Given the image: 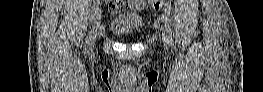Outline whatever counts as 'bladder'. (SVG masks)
I'll return each mask as SVG.
<instances>
[{
    "mask_svg": "<svg viewBox=\"0 0 263 92\" xmlns=\"http://www.w3.org/2000/svg\"><path fill=\"white\" fill-rule=\"evenodd\" d=\"M141 25L142 19L140 14L128 12L113 17L109 24V29L113 34L121 38H128L138 32Z\"/></svg>",
    "mask_w": 263,
    "mask_h": 92,
    "instance_id": "1",
    "label": "bladder"
}]
</instances>
